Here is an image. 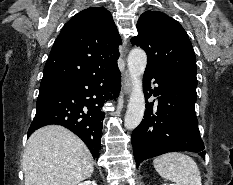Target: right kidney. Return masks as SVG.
<instances>
[{
    "label": "right kidney",
    "mask_w": 233,
    "mask_h": 185,
    "mask_svg": "<svg viewBox=\"0 0 233 185\" xmlns=\"http://www.w3.org/2000/svg\"><path fill=\"white\" fill-rule=\"evenodd\" d=\"M78 185H97L95 181H85V182H82V183H79Z\"/></svg>",
    "instance_id": "1"
}]
</instances>
